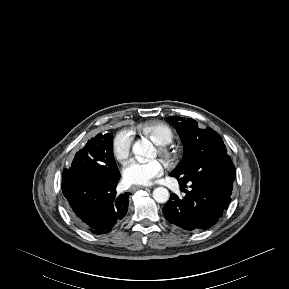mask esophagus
<instances>
[{
	"mask_svg": "<svg viewBox=\"0 0 289 289\" xmlns=\"http://www.w3.org/2000/svg\"><path fill=\"white\" fill-rule=\"evenodd\" d=\"M143 188H146V187H144V186H132L131 189H130V191H131V192H135L136 190H138V189H143Z\"/></svg>",
	"mask_w": 289,
	"mask_h": 289,
	"instance_id": "obj_1",
	"label": "esophagus"
}]
</instances>
